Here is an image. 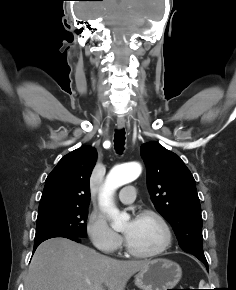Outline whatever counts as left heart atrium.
Returning a JSON list of instances; mask_svg holds the SVG:
<instances>
[{"mask_svg": "<svg viewBox=\"0 0 236 290\" xmlns=\"http://www.w3.org/2000/svg\"><path fill=\"white\" fill-rule=\"evenodd\" d=\"M135 222H136V219H133V220L130 222V226H129L128 233L126 234V238L129 236L131 229H132L133 226L135 225Z\"/></svg>", "mask_w": 236, "mask_h": 290, "instance_id": "39dd6f15", "label": "left heart atrium"}]
</instances>
